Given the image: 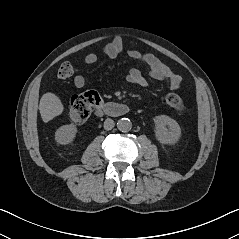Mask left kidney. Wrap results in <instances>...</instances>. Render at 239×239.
<instances>
[{"instance_id":"left-kidney-1","label":"left kidney","mask_w":239,"mask_h":239,"mask_svg":"<svg viewBox=\"0 0 239 239\" xmlns=\"http://www.w3.org/2000/svg\"><path fill=\"white\" fill-rule=\"evenodd\" d=\"M155 136L161 144L174 145L181 137L179 124L169 116L160 115L154 118Z\"/></svg>"}]
</instances>
